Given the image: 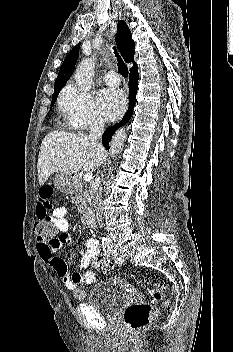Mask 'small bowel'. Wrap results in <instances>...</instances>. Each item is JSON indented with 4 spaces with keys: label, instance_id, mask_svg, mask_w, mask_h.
Returning <instances> with one entry per match:
<instances>
[{
    "label": "small bowel",
    "instance_id": "1",
    "mask_svg": "<svg viewBox=\"0 0 233 352\" xmlns=\"http://www.w3.org/2000/svg\"><path fill=\"white\" fill-rule=\"evenodd\" d=\"M67 214V208L55 207L54 189L49 185L42 186L38 192L37 218L48 219L55 227L58 238L50 241L37 239V250L41 259L56 271L66 288L74 290L79 284L93 283L96 275L93 271H86L83 274L78 272L71 273L65 261L56 255V252L61 250L69 240ZM98 254L99 242L94 238H87L85 250L81 252L78 267L80 269L88 267L91 257ZM76 275L80 276L79 282H76L73 278Z\"/></svg>",
    "mask_w": 233,
    "mask_h": 352
}]
</instances>
